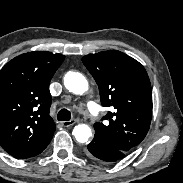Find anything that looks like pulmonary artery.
Listing matches in <instances>:
<instances>
[{"label": "pulmonary artery", "instance_id": "pulmonary-artery-1", "mask_svg": "<svg viewBox=\"0 0 183 183\" xmlns=\"http://www.w3.org/2000/svg\"><path fill=\"white\" fill-rule=\"evenodd\" d=\"M88 109L92 112V113H97V109H96V106H95V104L94 103H92V102H89L88 103Z\"/></svg>", "mask_w": 183, "mask_h": 183}]
</instances>
